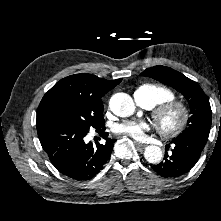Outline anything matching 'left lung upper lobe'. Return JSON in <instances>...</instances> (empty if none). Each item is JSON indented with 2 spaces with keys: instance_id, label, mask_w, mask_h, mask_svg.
<instances>
[{
  "instance_id": "5c2ea615",
  "label": "left lung upper lobe",
  "mask_w": 221,
  "mask_h": 221,
  "mask_svg": "<svg viewBox=\"0 0 221 221\" xmlns=\"http://www.w3.org/2000/svg\"><path fill=\"white\" fill-rule=\"evenodd\" d=\"M141 75L153 78L174 88L189 102L191 117L188 119L187 128L179 136L196 131L210 130L212 122L210 103L204 91L195 81L165 66L147 68Z\"/></svg>"
}]
</instances>
